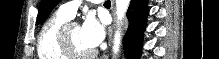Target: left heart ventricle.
Wrapping results in <instances>:
<instances>
[{"label": "left heart ventricle", "mask_w": 219, "mask_h": 59, "mask_svg": "<svg viewBox=\"0 0 219 59\" xmlns=\"http://www.w3.org/2000/svg\"><path fill=\"white\" fill-rule=\"evenodd\" d=\"M69 35L73 46L80 52H88L92 50L81 38L80 27L77 24H73L69 28Z\"/></svg>", "instance_id": "b2bd125f"}]
</instances>
